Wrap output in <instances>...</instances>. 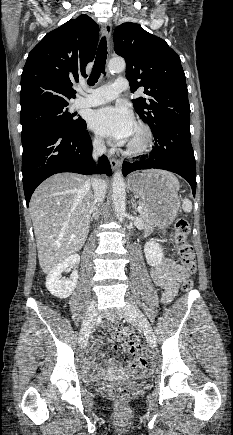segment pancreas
Returning a JSON list of instances; mask_svg holds the SVG:
<instances>
[{"label": "pancreas", "mask_w": 233, "mask_h": 435, "mask_svg": "<svg viewBox=\"0 0 233 435\" xmlns=\"http://www.w3.org/2000/svg\"><path fill=\"white\" fill-rule=\"evenodd\" d=\"M139 205L142 206L140 217L145 222V231H150L153 229L154 223L149 208L143 202H140Z\"/></svg>", "instance_id": "pancreas-1"}]
</instances>
